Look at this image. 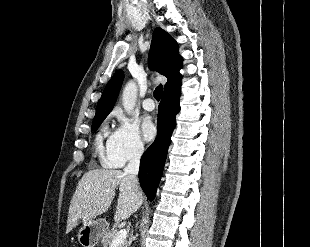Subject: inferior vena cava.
I'll list each match as a JSON object with an SVG mask.
<instances>
[{"instance_id":"1","label":"inferior vena cava","mask_w":310,"mask_h":247,"mask_svg":"<svg viewBox=\"0 0 310 247\" xmlns=\"http://www.w3.org/2000/svg\"><path fill=\"white\" fill-rule=\"evenodd\" d=\"M143 151V145L137 144L129 156V162L127 166L124 168V174L130 176L135 185H138L137 175L139 171L140 158L143 154Z\"/></svg>"}]
</instances>
